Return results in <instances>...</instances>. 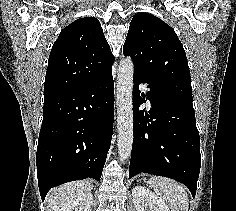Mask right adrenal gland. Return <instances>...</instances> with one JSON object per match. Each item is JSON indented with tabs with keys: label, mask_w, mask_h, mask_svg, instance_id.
<instances>
[{
	"label": "right adrenal gland",
	"mask_w": 236,
	"mask_h": 211,
	"mask_svg": "<svg viewBox=\"0 0 236 211\" xmlns=\"http://www.w3.org/2000/svg\"><path fill=\"white\" fill-rule=\"evenodd\" d=\"M91 188H92V189H93V188L95 189L94 185H91Z\"/></svg>",
	"instance_id": "right-adrenal-gland-1"
}]
</instances>
